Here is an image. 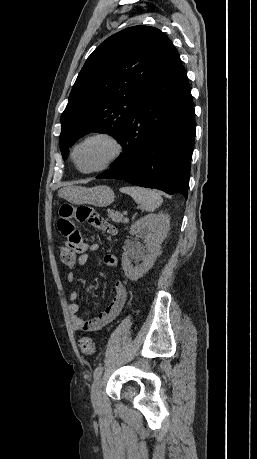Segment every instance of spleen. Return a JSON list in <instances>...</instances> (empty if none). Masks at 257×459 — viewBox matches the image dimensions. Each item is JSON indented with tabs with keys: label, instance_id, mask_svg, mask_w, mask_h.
<instances>
[{
	"label": "spleen",
	"instance_id": "spleen-1",
	"mask_svg": "<svg viewBox=\"0 0 257 459\" xmlns=\"http://www.w3.org/2000/svg\"><path fill=\"white\" fill-rule=\"evenodd\" d=\"M121 192L129 194L147 212L156 210L163 202L159 192L147 188L128 186L122 188Z\"/></svg>",
	"mask_w": 257,
	"mask_h": 459
}]
</instances>
